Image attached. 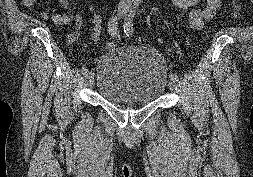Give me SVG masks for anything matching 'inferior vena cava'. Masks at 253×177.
<instances>
[{
    "instance_id": "obj_1",
    "label": "inferior vena cava",
    "mask_w": 253,
    "mask_h": 177,
    "mask_svg": "<svg viewBox=\"0 0 253 177\" xmlns=\"http://www.w3.org/2000/svg\"><path fill=\"white\" fill-rule=\"evenodd\" d=\"M130 2L131 0H120L119 4L120 6H128Z\"/></svg>"
}]
</instances>
